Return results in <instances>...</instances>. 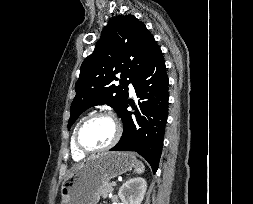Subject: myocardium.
Wrapping results in <instances>:
<instances>
[{
	"label": "myocardium",
	"instance_id": "1",
	"mask_svg": "<svg viewBox=\"0 0 253 204\" xmlns=\"http://www.w3.org/2000/svg\"><path fill=\"white\" fill-rule=\"evenodd\" d=\"M96 117H105V118L112 120L115 125L116 132H115L113 139L107 145H105L101 148H97V149H88V148L84 147L80 141V132H81L82 127L88 121H90L91 119L96 118ZM121 135H122V126H121L120 122L111 113L103 112V111L93 112V113H90L89 115H87L86 117H84L77 125V127L75 129V133H74V143H75V146L79 152H81L83 154H95V153H100V152L107 151V150L113 148L120 140Z\"/></svg>",
	"mask_w": 253,
	"mask_h": 204
}]
</instances>
